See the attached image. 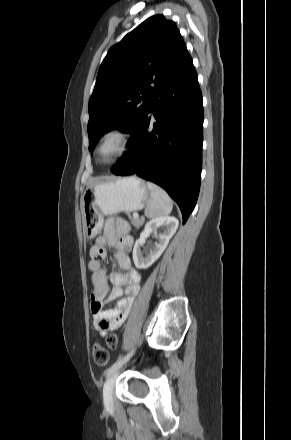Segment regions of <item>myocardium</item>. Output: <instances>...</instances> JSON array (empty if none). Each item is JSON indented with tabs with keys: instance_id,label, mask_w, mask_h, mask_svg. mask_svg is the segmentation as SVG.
Instances as JSON below:
<instances>
[{
	"instance_id": "myocardium-1",
	"label": "myocardium",
	"mask_w": 291,
	"mask_h": 440,
	"mask_svg": "<svg viewBox=\"0 0 291 440\" xmlns=\"http://www.w3.org/2000/svg\"><path fill=\"white\" fill-rule=\"evenodd\" d=\"M128 147L129 134L122 128H111L99 139L95 149L96 160L102 165H111L127 152Z\"/></svg>"
}]
</instances>
